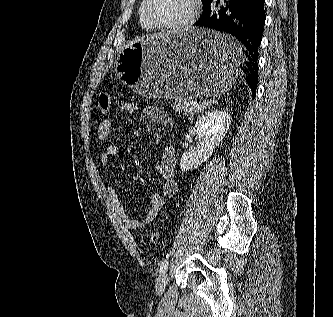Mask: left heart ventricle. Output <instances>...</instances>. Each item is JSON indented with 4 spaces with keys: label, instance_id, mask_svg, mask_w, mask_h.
Instances as JSON below:
<instances>
[{
    "label": "left heart ventricle",
    "instance_id": "left-heart-ventricle-1",
    "mask_svg": "<svg viewBox=\"0 0 333 317\" xmlns=\"http://www.w3.org/2000/svg\"><path fill=\"white\" fill-rule=\"evenodd\" d=\"M189 12V0H151L149 4L151 17L160 23H179L188 16Z\"/></svg>",
    "mask_w": 333,
    "mask_h": 317
}]
</instances>
